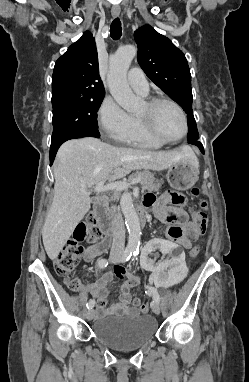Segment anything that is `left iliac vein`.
<instances>
[{"label": "left iliac vein", "mask_w": 249, "mask_h": 382, "mask_svg": "<svg viewBox=\"0 0 249 382\" xmlns=\"http://www.w3.org/2000/svg\"><path fill=\"white\" fill-rule=\"evenodd\" d=\"M151 309L155 314H159L161 311L159 304L154 301L151 303Z\"/></svg>", "instance_id": "obj_1"}]
</instances>
